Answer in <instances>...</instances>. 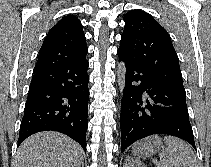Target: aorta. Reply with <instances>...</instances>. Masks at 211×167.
<instances>
[{"label": "aorta", "mask_w": 211, "mask_h": 167, "mask_svg": "<svg viewBox=\"0 0 211 167\" xmlns=\"http://www.w3.org/2000/svg\"><path fill=\"white\" fill-rule=\"evenodd\" d=\"M117 77H118V85L120 92H122L125 84V65L123 62L119 63L117 66Z\"/></svg>", "instance_id": "1"}]
</instances>
